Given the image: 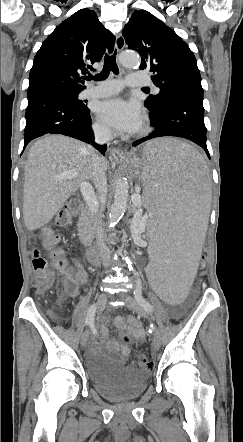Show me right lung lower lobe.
Listing matches in <instances>:
<instances>
[{
  "mask_svg": "<svg viewBox=\"0 0 243 442\" xmlns=\"http://www.w3.org/2000/svg\"><path fill=\"white\" fill-rule=\"evenodd\" d=\"M27 97L24 149L31 140L52 133L92 143L105 154L107 146L94 142L90 110L85 104L80 106L67 91L52 87L28 91Z\"/></svg>",
  "mask_w": 243,
  "mask_h": 442,
  "instance_id": "obj_1",
  "label": "right lung lower lobe"
}]
</instances>
